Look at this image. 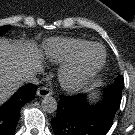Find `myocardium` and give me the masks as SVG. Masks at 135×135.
Returning <instances> with one entry per match:
<instances>
[{
    "label": "myocardium",
    "instance_id": "f54148a6",
    "mask_svg": "<svg viewBox=\"0 0 135 135\" xmlns=\"http://www.w3.org/2000/svg\"><path fill=\"white\" fill-rule=\"evenodd\" d=\"M93 47L101 48L102 58L98 63L89 66L87 63L88 53ZM105 60L106 50L104 46L99 43L89 44L75 59L67 62L59 70L58 78L62 87L71 92L80 90L98 74Z\"/></svg>",
    "mask_w": 135,
    "mask_h": 135
}]
</instances>
